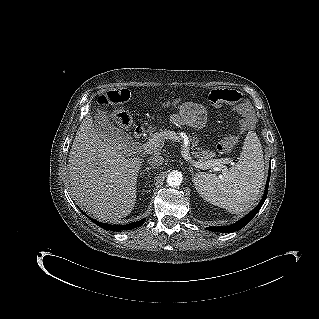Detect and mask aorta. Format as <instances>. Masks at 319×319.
Here are the masks:
<instances>
[{
	"instance_id": "762f6f07",
	"label": "aorta",
	"mask_w": 319,
	"mask_h": 319,
	"mask_svg": "<svg viewBox=\"0 0 319 319\" xmlns=\"http://www.w3.org/2000/svg\"><path fill=\"white\" fill-rule=\"evenodd\" d=\"M183 180L182 173L179 171H172L167 176V184L171 187H178Z\"/></svg>"
}]
</instances>
